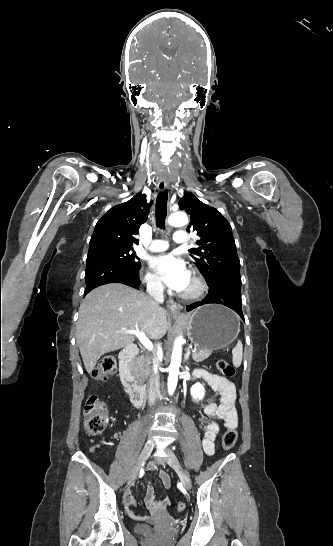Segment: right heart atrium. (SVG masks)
<instances>
[{
    "instance_id": "obj_1",
    "label": "right heart atrium",
    "mask_w": 333,
    "mask_h": 546,
    "mask_svg": "<svg viewBox=\"0 0 333 546\" xmlns=\"http://www.w3.org/2000/svg\"><path fill=\"white\" fill-rule=\"evenodd\" d=\"M144 282L147 285V287L150 290H160L162 288V284L158 277L151 273L150 271H147L144 275Z\"/></svg>"
}]
</instances>
